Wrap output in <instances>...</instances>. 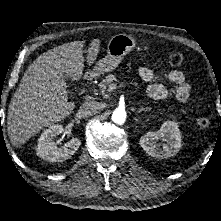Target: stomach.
<instances>
[{
	"mask_svg": "<svg viewBox=\"0 0 221 221\" xmlns=\"http://www.w3.org/2000/svg\"><path fill=\"white\" fill-rule=\"evenodd\" d=\"M136 46V40L127 34H117L111 37L107 45V55L99 60L93 71L92 76H99L110 72L122 61L131 50Z\"/></svg>",
	"mask_w": 221,
	"mask_h": 221,
	"instance_id": "0dacf381",
	"label": "stomach"
}]
</instances>
